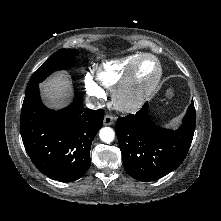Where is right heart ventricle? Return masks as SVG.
I'll return each instance as SVG.
<instances>
[{"label":"right heart ventricle","mask_w":221,"mask_h":221,"mask_svg":"<svg viewBox=\"0 0 221 221\" xmlns=\"http://www.w3.org/2000/svg\"><path fill=\"white\" fill-rule=\"evenodd\" d=\"M140 55L141 53H135L120 59L104 62L96 71L95 78L97 82L106 88L115 87Z\"/></svg>","instance_id":"right-heart-ventricle-1"}]
</instances>
